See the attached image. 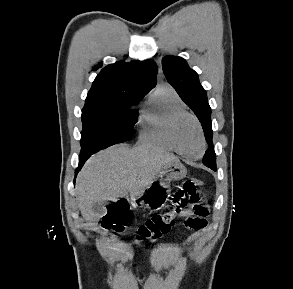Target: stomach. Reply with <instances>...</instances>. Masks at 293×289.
<instances>
[{
	"instance_id": "stomach-1",
	"label": "stomach",
	"mask_w": 293,
	"mask_h": 289,
	"mask_svg": "<svg viewBox=\"0 0 293 289\" xmlns=\"http://www.w3.org/2000/svg\"><path fill=\"white\" fill-rule=\"evenodd\" d=\"M186 174L187 170L180 162L165 165L140 195L131 198L132 207H146L152 211L162 209L170 196V183Z\"/></svg>"
}]
</instances>
